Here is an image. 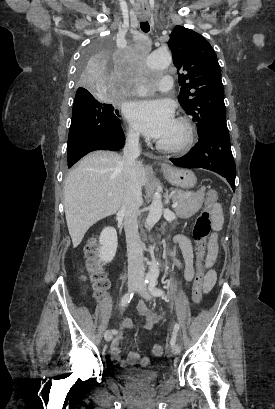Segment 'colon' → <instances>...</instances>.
I'll list each match as a JSON object with an SVG mask.
<instances>
[{"label": "colon", "mask_w": 275, "mask_h": 409, "mask_svg": "<svg viewBox=\"0 0 275 409\" xmlns=\"http://www.w3.org/2000/svg\"><path fill=\"white\" fill-rule=\"evenodd\" d=\"M217 198V190L211 189L208 191L205 206L199 213L193 230V238L196 244V276L192 296L194 303H199L205 293L206 283L203 261L206 254L207 238L211 231V211L217 202ZM99 249L100 244L98 240L94 238L90 239L84 246V269L86 270V274L83 276V279L87 280L91 284L92 289L96 291V293L101 294L108 289L109 281L98 267ZM152 347V355L154 358H162L164 356V346L162 342H154Z\"/></svg>", "instance_id": "obj_1"}]
</instances>
